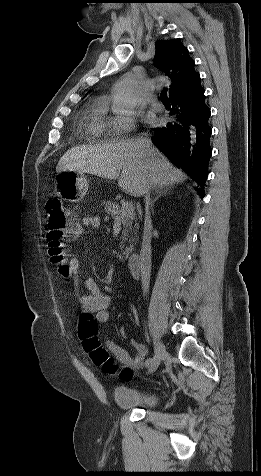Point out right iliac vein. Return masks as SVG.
Segmentation results:
<instances>
[{"label": "right iliac vein", "instance_id": "right-iliac-vein-1", "mask_svg": "<svg viewBox=\"0 0 261 476\" xmlns=\"http://www.w3.org/2000/svg\"><path fill=\"white\" fill-rule=\"evenodd\" d=\"M165 347L163 343L160 341V339L157 337L155 340V355L151 360V363L149 365V372L152 373L156 371V369L159 367L160 362L162 357L165 355Z\"/></svg>", "mask_w": 261, "mask_h": 476}]
</instances>
